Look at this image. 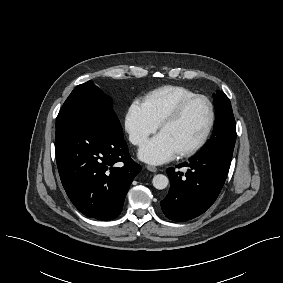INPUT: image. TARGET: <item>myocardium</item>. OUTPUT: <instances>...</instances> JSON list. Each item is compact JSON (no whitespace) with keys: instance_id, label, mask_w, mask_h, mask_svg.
Here are the masks:
<instances>
[{"instance_id":"1","label":"myocardium","mask_w":283,"mask_h":283,"mask_svg":"<svg viewBox=\"0 0 283 283\" xmlns=\"http://www.w3.org/2000/svg\"><path fill=\"white\" fill-rule=\"evenodd\" d=\"M196 100H204L207 103L208 108H209V121H208L207 127H206L203 135L200 137V139L195 144L190 146L189 148L179 152L178 153L179 157H189V156L195 154L198 150H200L204 146V144L208 140V138H209V136L212 132V129L214 127V123H215V107H214L213 102L206 95L194 94V95L182 100L175 107V109L168 116H166L159 124V131H161L164 127L177 122L181 118V116L183 115L186 108L192 102H194Z\"/></svg>"}]
</instances>
